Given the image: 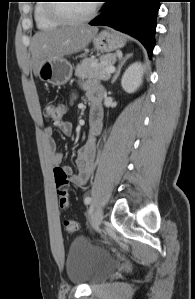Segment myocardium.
Listing matches in <instances>:
<instances>
[{"instance_id": "obj_1", "label": "myocardium", "mask_w": 195, "mask_h": 299, "mask_svg": "<svg viewBox=\"0 0 195 299\" xmlns=\"http://www.w3.org/2000/svg\"><path fill=\"white\" fill-rule=\"evenodd\" d=\"M60 2V1H53ZM64 3H49L48 5V13L50 17L62 24H82L91 21L98 12V4L93 3L90 12L83 17H71L61 11V7Z\"/></svg>"}]
</instances>
